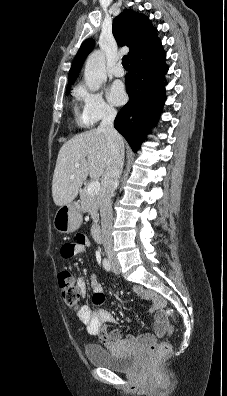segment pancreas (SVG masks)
Wrapping results in <instances>:
<instances>
[{
    "instance_id": "cf45deb5",
    "label": "pancreas",
    "mask_w": 227,
    "mask_h": 396,
    "mask_svg": "<svg viewBox=\"0 0 227 396\" xmlns=\"http://www.w3.org/2000/svg\"><path fill=\"white\" fill-rule=\"evenodd\" d=\"M81 210L86 213L88 212L93 219L94 223L98 222V208L100 205V193L89 194L87 187L81 190Z\"/></svg>"
}]
</instances>
